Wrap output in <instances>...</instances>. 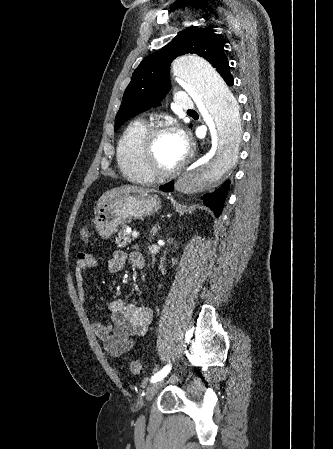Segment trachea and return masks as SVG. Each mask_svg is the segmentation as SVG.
Segmentation results:
<instances>
[{"mask_svg":"<svg viewBox=\"0 0 333 449\" xmlns=\"http://www.w3.org/2000/svg\"><path fill=\"white\" fill-rule=\"evenodd\" d=\"M188 112H195L194 110H188Z\"/></svg>","mask_w":333,"mask_h":449,"instance_id":"1","label":"trachea"}]
</instances>
